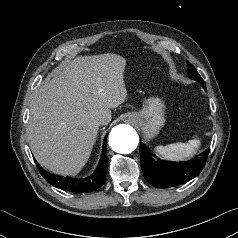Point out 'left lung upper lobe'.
<instances>
[{"label": "left lung upper lobe", "instance_id": "left-lung-upper-lobe-1", "mask_svg": "<svg viewBox=\"0 0 238 238\" xmlns=\"http://www.w3.org/2000/svg\"><path fill=\"white\" fill-rule=\"evenodd\" d=\"M188 75L191 79L196 80L198 82H200L202 84V86L204 88L205 87V82L203 81L202 77L199 75V73L195 70V68L193 67V65L191 63H188Z\"/></svg>", "mask_w": 238, "mask_h": 238}]
</instances>
